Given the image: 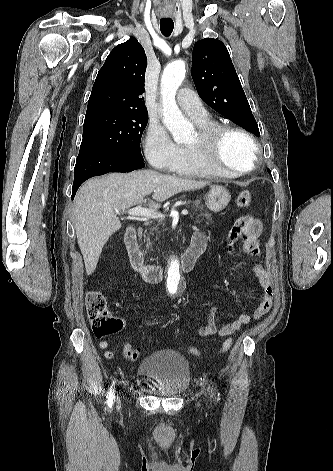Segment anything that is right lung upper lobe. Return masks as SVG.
<instances>
[{
    "label": "right lung upper lobe",
    "instance_id": "1",
    "mask_svg": "<svg viewBox=\"0 0 333 471\" xmlns=\"http://www.w3.org/2000/svg\"><path fill=\"white\" fill-rule=\"evenodd\" d=\"M146 65L145 51L134 37L116 46L98 72L85 117L107 112L147 113L142 97Z\"/></svg>",
    "mask_w": 333,
    "mask_h": 471
}]
</instances>
